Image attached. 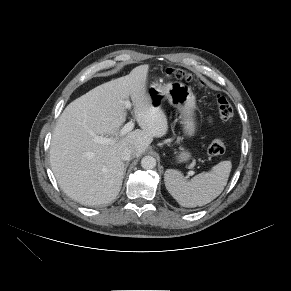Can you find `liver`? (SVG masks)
Wrapping results in <instances>:
<instances>
[{
  "mask_svg": "<svg viewBox=\"0 0 291 291\" xmlns=\"http://www.w3.org/2000/svg\"><path fill=\"white\" fill-rule=\"evenodd\" d=\"M149 65L101 84L72 101L58 119L50 146V164L61 189L83 205L106 204L119 194L125 149L140 156L168 131L165 113L152 106L146 92ZM131 98L141 129L121 135L126 120L125 103ZM110 138L109 144L94 141Z\"/></svg>",
  "mask_w": 291,
  "mask_h": 291,
  "instance_id": "6515ba94",
  "label": "liver"
}]
</instances>
